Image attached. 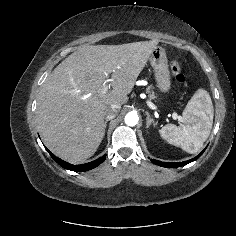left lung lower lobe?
I'll return each mask as SVG.
<instances>
[{
	"label": "left lung lower lobe",
	"instance_id": "1",
	"mask_svg": "<svg viewBox=\"0 0 236 236\" xmlns=\"http://www.w3.org/2000/svg\"><path fill=\"white\" fill-rule=\"evenodd\" d=\"M204 150L198 156H196L195 158L187 160V161H184V162L169 163V162H161V161H158V160H155V159H151V161L154 164H157V165L162 166V167L176 168V167L184 166V165H186V164H188L190 162L195 161L196 159H198L203 154Z\"/></svg>",
	"mask_w": 236,
	"mask_h": 236
}]
</instances>
